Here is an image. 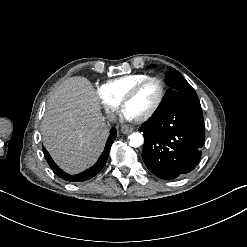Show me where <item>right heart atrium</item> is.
<instances>
[{
    "label": "right heart atrium",
    "instance_id": "obj_1",
    "mask_svg": "<svg viewBox=\"0 0 247 247\" xmlns=\"http://www.w3.org/2000/svg\"><path fill=\"white\" fill-rule=\"evenodd\" d=\"M95 95L97 96V102L103 105V110L106 113H110L116 109L117 104L109 101V97L106 95V90L103 87H98L95 90Z\"/></svg>",
    "mask_w": 247,
    "mask_h": 247
}]
</instances>
